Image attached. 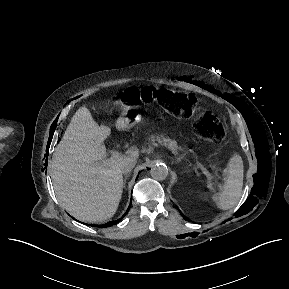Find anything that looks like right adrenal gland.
Segmentation results:
<instances>
[{
    "instance_id": "right-adrenal-gland-1",
    "label": "right adrenal gland",
    "mask_w": 289,
    "mask_h": 289,
    "mask_svg": "<svg viewBox=\"0 0 289 289\" xmlns=\"http://www.w3.org/2000/svg\"><path fill=\"white\" fill-rule=\"evenodd\" d=\"M127 177H128V174H126L125 177H124V182H123L124 188H125V185H126Z\"/></svg>"
}]
</instances>
